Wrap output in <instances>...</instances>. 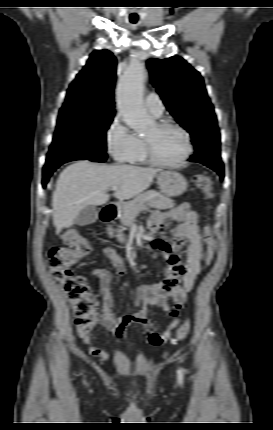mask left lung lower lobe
<instances>
[{"label":"left lung lower lobe","instance_id":"obj_1","mask_svg":"<svg viewBox=\"0 0 273 430\" xmlns=\"http://www.w3.org/2000/svg\"><path fill=\"white\" fill-rule=\"evenodd\" d=\"M191 162L202 163L216 171L220 178H224V167L220 156V146L206 145L188 159Z\"/></svg>","mask_w":273,"mask_h":430}]
</instances>
